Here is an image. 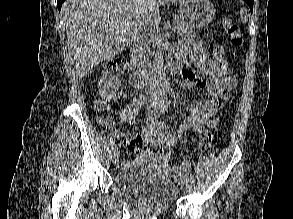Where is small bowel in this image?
<instances>
[{"label":"small bowel","mask_w":293,"mask_h":219,"mask_svg":"<svg viewBox=\"0 0 293 219\" xmlns=\"http://www.w3.org/2000/svg\"><path fill=\"white\" fill-rule=\"evenodd\" d=\"M182 55L191 58L197 68L205 74L208 79L196 77L192 71L183 70L180 73V84L183 86L198 87L208 91L210 97L199 104H191L187 111L188 116L179 129L170 131L163 124H148L141 132L125 139L127 149L140 157L149 155V148L164 144L176 145L186 133L200 135L203 127H215L219 118L218 111L229 99V92L234 89L237 82L230 74L223 73L216 63L209 57L208 51L200 41H185L182 43ZM178 62L181 57H178ZM143 96L134 97L125 107L122 120L131 125L137 112L143 105ZM143 142L145 146L139 148L137 144Z\"/></svg>","instance_id":"c3829d8e"}]
</instances>
